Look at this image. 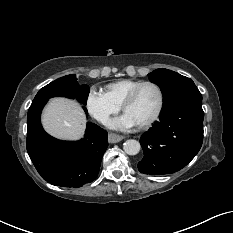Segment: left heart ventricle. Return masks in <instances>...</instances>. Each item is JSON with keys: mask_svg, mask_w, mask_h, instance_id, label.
Masks as SVG:
<instances>
[{"mask_svg": "<svg viewBox=\"0 0 233 233\" xmlns=\"http://www.w3.org/2000/svg\"><path fill=\"white\" fill-rule=\"evenodd\" d=\"M158 92L155 87L144 86L138 93L135 100L128 105L126 113L129 114L137 124L149 119L155 112L158 105Z\"/></svg>", "mask_w": 233, "mask_h": 233, "instance_id": "1", "label": "left heart ventricle"}]
</instances>
